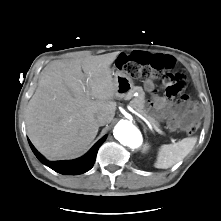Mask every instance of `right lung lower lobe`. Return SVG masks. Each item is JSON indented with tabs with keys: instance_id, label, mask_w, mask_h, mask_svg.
I'll list each match as a JSON object with an SVG mask.
<instances>
[{
	"instance_id": "right-lung-lower-lobe-1",
	"label": "right lung lower lobe",
	"mask_w": 221,
	"mask_h": 221,
	"mask_svg": "<svg viewBox=\"0 0 221 221\" xmlns=\"http://www.w3.org/2000/svg\"><path fill=\"white\" fill-rule=\"evenodd\" d=\"M106 139L104 136L100 139L92 148L91 150L85 154L83 157L75 159V160H66V161H47L32 145L30 140L28 139L29 145L36 155V157L45 165L53 169L54 171L60 174H70V175H77L82 174L90 170L96 160V155L98 148Z\"/></svg>"
}]
</instances>
